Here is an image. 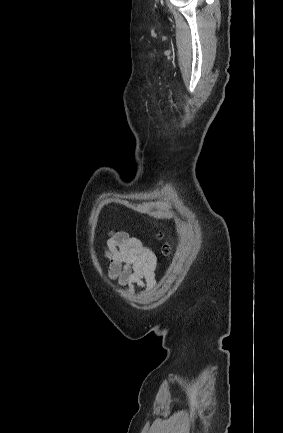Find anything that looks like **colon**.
I'll list each match as a JSON object with an SVG mask.
<instances>
[{
	"mask_svg": "<svg viewBox=\"0 0 283 433\" xmlns=\"http://www.w3.org/2000/svg\"><path fill=\"white\" fill-rule=\"evenodd\" d=\"M157 237L161 239L162 238V234L158 233ZM170 251H171L170 244L168 242H164L163 245H162V253L165 254V255H167V254L170 253Z\"/></svg>",
	"mask_w": 283,
	"mask_h": 433,
	"instance_id": "obj_1",
	"label": "colon"
}]
</instances>
